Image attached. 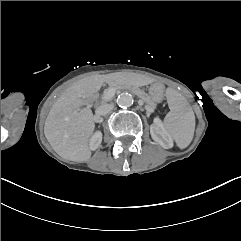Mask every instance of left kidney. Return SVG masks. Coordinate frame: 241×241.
Returning a JSON list of instances; mask_svg holds the SVG:
<instances>
[{
  "mask_svg": "<svg viewBox=\"0 0 241 241\" xmlns=\"http://www.w3.org/2000/svg\"><path fill=\"white\" fill-rule=\"evenodd\" d=\"M150 134L152 139L164 149L173 147L172 137L158 117L154 118L153 124L150 126Z\"/></svg>",
  "mask_w": 241,
  "mask_h": 241,
  "instance_id": "obj_1",
  "label": "left kidney"
}]
</instances>
